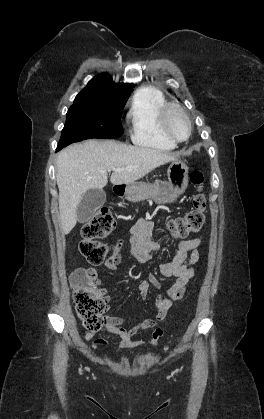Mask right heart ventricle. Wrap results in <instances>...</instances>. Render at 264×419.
Returning a JSON list of instances; mask_svg holds the SVG:
<instances>
[{
	"instance_id": "1",
	"label": "right heart ventricle",
	"mask_w": 264,
	"mask_h": 419,
	"mask_svg": "<svg viewBox=\"0 0 264 419\" xmlns=\"http://www.w3.org/2000/svg\"><path fill=\"white\" fill-rule=\"evenodd\" d=\"M166 103L164 94L153 87H143L134 93L127 114L134 144L160 151L175 149L176 144L162 134L159 124L160 112Z\"/></svg>"
}]
</instances>
